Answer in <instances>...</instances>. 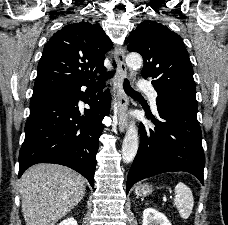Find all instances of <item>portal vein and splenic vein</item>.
<instances>
[{
    "label": "portal vein and splenic vein",
    "instance_id": "18ae733b",
    "mask_svg": "<svg viewBox=\"0 0 228 225\" xmlns=\"http://www.w3.org/2000/svg\"><path fill=\"white\" fill-rule=\"evenodd\" d=\"M160 200H162V205H167L166 195H160ZM171 200H176V195H171Z\"/></svg>",
    "mask_w": 228,
    "mask_h": 225
}]
</instances>
